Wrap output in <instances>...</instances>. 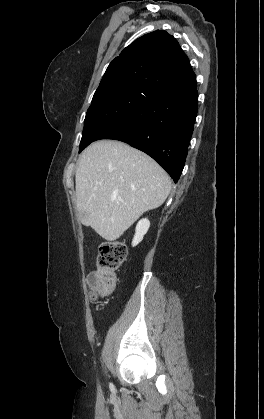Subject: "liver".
<instances>
[{"mask_svg":"<svg viewBox=\"0 0 264 419\" xmlns=\"http://www.w3.org/2000/svg\"><path fill=\"white\" fill-rule=\"evenodd\" d=\"M75 182L82 223L107 241L161 206L171 190L168 174L152 158L114 140H100L84 150Z\"/></svg>","mask_w":264,"mask_h":419,"instance_id":"liver-1","label":"liver"}]
</instances>
